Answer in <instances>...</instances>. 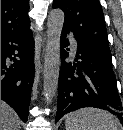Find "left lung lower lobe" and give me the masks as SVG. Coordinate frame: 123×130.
Segmentation results:
<instances>
[{"mask_svg": "<svg viewBox=\"0 0 123 130\" xmlns=\"http://www.w3.org/2000/svg\"><path fill=\"white\" fill-rule=\"evenodd\" d=\"M67 30L60 39L62 66L59 73L57 122L63 115L84 107L108 110L122 117L123 107L112 70L111 53L77 41L75 63H66Z\"/></svg>", "mask_w": 123, "mask_h": 130, "instance_id": "obj_1", "label": "left lung lower lobe"}]
</instances>
